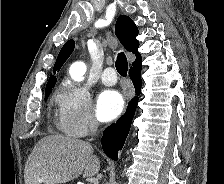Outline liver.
Instances as JSON below:
<instances>
[{
	"label": "liver",
	"instance_id": "liver-1",
	"mask_svg": "<svg viewBox=\"0 0 224 184\" xmlns=\"http://www.w3.org/2000/svg\"><path fill=\"white\" fill-rule=\"evenodd\" d=\"M100 161L93 155V147L80 139L64 135H48L42 138L28 157L25 184H59L95 176Z\"/></svg>",
	"mask_w": 224,
	"mask_h": 184
}]
</instances>
